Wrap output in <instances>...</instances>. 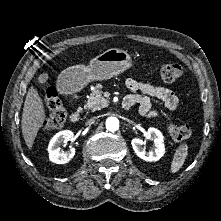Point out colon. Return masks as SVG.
I'll use <instances>...</instances> for the list:
<instances>
[{
    "label": "colon",
    "mask_w": 221,
    "mask_h": 221,
    "mask_svg": "<svg viewBox=\"0 0 221 221\" xmlns=\"http://www.w3.org/2000/svg\"><path fill=\"white\" fill-rule=\"evenodd\" d=\"M162 79L166 82H174L182 75V68L175 63L164 64L159 69ZM44 101L49 111V115L44 122L47 130H56L62 127L67 118V111L64 108L57 91L48 88L44 94ZM167 131L175 141H183L190 137L191 127L187 125L167 124Z\"/></svg>",
    "instance_id": "1"
}]
</instances>
